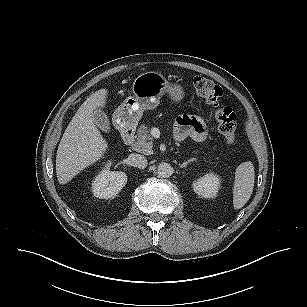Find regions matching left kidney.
I'll return each instance as SVG.
<instances>
[{
    "label": "left kidney",
    "mask_w": 307,
    "mask_h": 307,
    "mask_svg": "<svg viewBox=\"0 0 307 307\" xmlns=\"http://www.w3.org/2000/svg\"><path fill=\"white\" fill-rule=\"evenodd\" d=\"M192 186L196 194L204 198H214L217 196L221 186V180L218 175L208 173L193 182Z\"/></svg>",
    "instance_id": "left-kidney-1"
}]
</instances>
